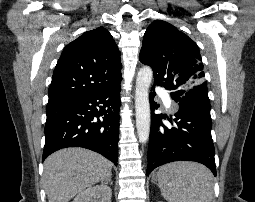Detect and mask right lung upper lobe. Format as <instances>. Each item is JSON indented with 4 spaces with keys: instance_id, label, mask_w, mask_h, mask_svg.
Wrapping results in <instances>:
<instances>
[{
    "instance_id": "cb5924a9",
    "label": "right lung upper lobe",
    "mask_w": 255,
    "mask_h": 202,
    "mask_svg": "<svg viewBox=\"0 0 255 202\" xmlns=\"http://www.w3.org/2000/svg\"><path fill=\"white\" fill-rule=\"evenodd\" d=\"M121 67L112 35L103 27L87 31L64 48L48 102L112 88L121 82Z\"/></svg>"
}]
</instances>
